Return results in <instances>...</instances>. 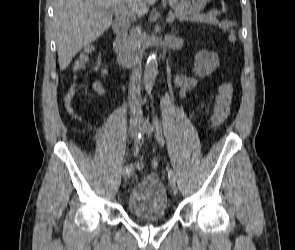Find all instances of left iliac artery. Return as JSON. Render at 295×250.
<instances>
[{
    "instance_id": "1",
    "label": "left iliac artery",
    "mask_w": 295,
    "mask_h": 250,
    "mask_svg": "<svg viewBox=\"0 0 295 250\" xmlns=\"http://www.w3.org/2000/svg\"><path fill=\"white\" fill-rule=\"evenodd\" d=\"M153 127H154V134H155L156 140L159 143L160 147L163 148L165 144V140L162 133V127L157 115L153 116ZM167 172H168V178L170 183H176L175 174L173 170L170 167H168Z\"/></svg>"
}]
</instances>
